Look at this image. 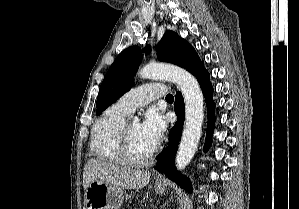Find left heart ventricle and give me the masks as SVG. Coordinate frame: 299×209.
<instances>
[{
	"label": "left heart ventricle",
	"instance_id": "left-heart-ventricle-1",
	"mask_svg": "<svg viewBox=\"0 0 299 209\" xmlns=\"http://www.w3.org/2000/svg\"><path fill=\"white\" fill-rule=\"evenodd\" d=\"M129 147L131 156L136 160L146 158L154 149L142 136L140 125L137 123L129 124Z\"/></svg>",
	"mask_w": 299,
	"mask_h": 209
}]
</instances>
